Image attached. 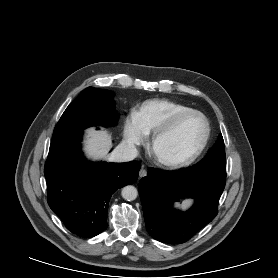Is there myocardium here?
Segmentation results:
<instances>
[{
	"mask_svg": "<svg viewBox=\"0 0 278 278\" xmlns=\"http://www.w3.org/2000/svg\"><path fill=\"white\" fill-rule=\"evenodd\" d=\"M192 115H197L200 116L204 123H205V134L199 144V146L196 148V150L191 153L188 156L182 157V158H177V159H169L162 157L158 152H157V145L158 143L165 137H167L169 134H171L177 126L181 123L182 120L185 118L192 116ZM211 136V125L209 122V119L207 116L202 113L201 111L198 110H188L185 112H182L175 117H173L168 123L157 129L151 138L149 150L152 158L154 161L166 168L170 169H176V168H181L188 166L192 164L197 158L203 153L205 148L207 147V144L209 142Z\"/></svg>",
	"mask_w": 278,
	"mask_h": 278,
	"instance_id": "myocardium-1",
	"label": "myocardium"
}]
</instances>
